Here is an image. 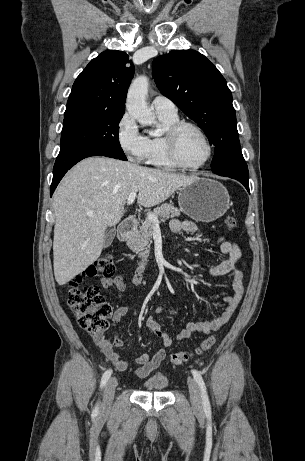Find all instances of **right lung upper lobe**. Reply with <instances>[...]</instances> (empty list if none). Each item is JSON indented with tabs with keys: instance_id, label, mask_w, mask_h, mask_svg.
<instances>
[{
	"instance_id": "obj_1",
	"label": "right lung upper lobe",
	"mask_w": 305,
	"mask_h": 461,
	"mask_svg": "<svg viewBox=\"0 0 305 461\" xmlns=\"http://www.w3.org/2000/svg\"><path fill=\"white\" fill-rule=\"evenodd\" d=\"M134 74L129 56L117 50L102 52L75 80L67 107H87L124 113L125 99Z\"/></svg>"
}]
</instances>
